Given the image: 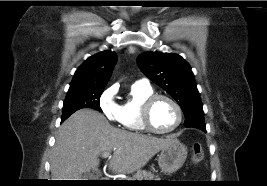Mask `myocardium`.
Segmentation results:
<instances>
[{"label":"myocardium","instance_id":"f54148a6","mask_svg":"<svg viewBox=\"0 0 267 186\" xmlns=\"http://www.w3.org/2000/svg\"><path fill=\"white\" fill-rule=\"evenodd\" d=\"M160 99H164L170 102L174 106L177 112L176 123L171 128L166 129V130L157 129L151 121L152 107L154 103ZM140 118L146 130L152 133H156V134H169V133L176 131L180 127L183 121V112H182V108L179 105V103L172 97L165 95V94L153 93L150 96H148L142 103Z\"/></svg>","mask_w":267,"mask_h":186}]
</instances>
